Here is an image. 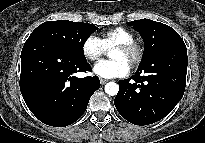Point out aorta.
<instances>
[{
    "label": "aorta",
    "instance_id": "762f6f07",
    "mask_svg": "<svg viewBox=\"0 0 205 143\" xmlns=\"http://www.w3.org/2000/svg\"><path fill=\"white\" fill-rule=\"evenodd\" d=\"M119 86L115 82H109L105 85V92L108 95L114 96L118 93Z\"/></svg>",
    "mask_w": 205,
    "mask_h": 143
}]
</instances>
